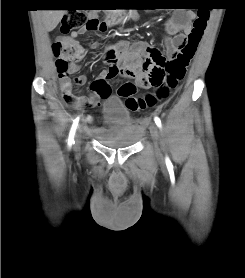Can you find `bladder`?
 Returning a JSON list of instances; mask_svg holds the SVG:
<instances>
[{"mask_svg":"<svg viewBox=\"0 0 245 278\" xmlns=\"http://www.w3.org/2000/svg\"><path fill=\"white\" fill-rule=\"evenodd\" d=\"M105 126L100 130L99 139L107 146L129 148L139 138L134 127V118L121 97H107L103 104Z\"/></svg>","mask_w":245,"mask_h":278,"instance_id":"bladder-1","label":"bladder"}]
</instances>
